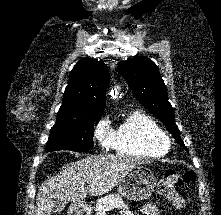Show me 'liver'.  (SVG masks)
<instances>
[{"label":"liver","mask_w":221,"mask_h":215,"mask_svg":"<svg viewBox=\"0 0 221 215\" xmlns=\"http://www.w3.org/2000/svg\"><path fill=\"white\" fill-rule=\"evenodd\" d=\"M143 163L140 158L105 154L66 164L57 175L42 183L35 215H51L57 201L80 202L88 195L108 193L129 171Z\"/></svg>","instance_id":"1"}]
</instances>
